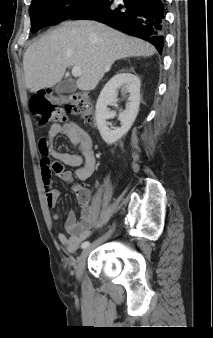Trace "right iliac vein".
I'll return each instance as SVG.
<instances>
[{"label": "right iliac vein", "mask_w": 213, "mask_h": 338, "mask_svg": "<svg viewBox=\"0 0 213 338\" xmlns=\"http://www.w3.org/2000/svg\"><path fill=\"white\" fill-rule=\"evenodd\" d=\"M112 232V229L106 233L104 236L100 237L92 246L86 248L85 250H83V252L81 253L80 257L78 258L76 267H75V275L76 278L78 280H80L82 278V274H83V269L86 263V259L89 255V253L98 245H100L101 243H103L105 240L108 239V237L110 236Z\"/></svg>", "instance_id": "obj_1"}]
</instances>
